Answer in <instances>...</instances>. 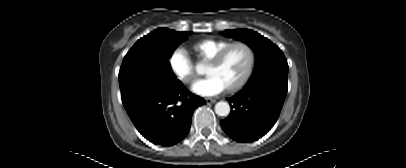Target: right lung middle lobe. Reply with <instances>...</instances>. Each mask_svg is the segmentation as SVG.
Returning <instances> with one entry per match:
<instances>
[{
  "mask_svg": "<svg viewBox=\"0 0 406 168\" xmlns=\"http://www.w3.org/2000/svg\"><path fill=\"white\" fill-rule=\"evenodd\" d=\"M187 33L159 28L139 39L123 59L118 75L125 105L177 81L168 59Z\"/></svg>",
  "mask_w": 406,
  "mask_h": 168,
  "instance_id": "1",
  "label": "right lung middle lobe"
}]
</instances>
